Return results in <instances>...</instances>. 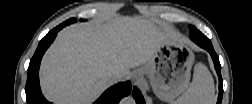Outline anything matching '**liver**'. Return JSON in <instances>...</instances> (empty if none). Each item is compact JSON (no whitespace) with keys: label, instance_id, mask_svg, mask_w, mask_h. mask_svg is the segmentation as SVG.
Wrapping results in <instances>:
<instances>
[{"label":"liver","instance_id":"liver-1","mask_svg":"<svg viewBox=\"0 0 252 104\" xmlns=\"http://www.w3.org/2000/svg\"><path fill=\"white\" fill-rule=\"evenodd\" d=\"M170 38L176 37L164 22L140 16L70 25L42 59V91L55 103H91L113 84L108 73L129 77L130 69L145 64Z\"/></svg>","mask_w":252,"mask_h":104}]
</instances>
